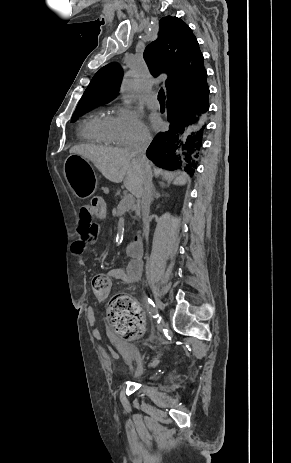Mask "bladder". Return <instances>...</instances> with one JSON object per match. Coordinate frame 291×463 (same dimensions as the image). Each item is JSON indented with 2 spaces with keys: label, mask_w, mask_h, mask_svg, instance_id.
Wrapping results in <instances>:
<instances>
[{
  "label": "bladder",
  "mask_w": 291,
  "mask_h": 463,
  "mask_svg": "<svg viewBox=\"0 0 291 463\" xmlns=\"http://www.w3.org/2000/svg\"><path fill=\"white\" fill-rule=\"evenodd\" d=\"M116 349L123 360L133 363L136 358V346L129 339L116 340Z\"/></svg>",
  "instance_id": "bladder-1"
}]
</instances>
